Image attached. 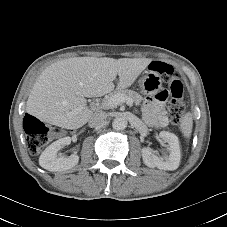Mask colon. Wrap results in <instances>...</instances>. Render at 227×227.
I'll list each match as a JSON object with an SVG mask.
<instances>
[{"label":"colon","instance_id":"obj_1","mask_svg":"<svg viewBox=\"0 0 227 227\" xmlns=\"http://www.w3.org/2000/svg\"><path fill=\"white\" fill-rule=\"evenodd\" d=\"M150 70L162 74L169 82L168 90L170 91L171 99L168 104V112L171 121L178 124L185 112V105L182 100L183 85L181 81L177 74H175L173 67L164 62L151 63ZM24 130L27 134L28 148L34 154L47 145L52 131L51 128L31 115H27L24 118Z\"/></svg>","mask_w":227,"mask_h":227}]
</instances>
